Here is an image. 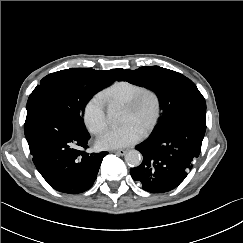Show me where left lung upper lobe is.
<instances>
[{"label":"left lung upper lobe","instance_id":"left-lung-upper-lobe-1","mask_svg":"<svg viewBox=\"0 0 243 243\" xmlns=\"http://www.w3.org/2000/svg\"><path fill=\"white\" fill-rule=\"evenodd\" d=\"M118 80L145 87L158 96L162 115L152 135L162 131L168 122L184 109L205 104L204 97L190 79L159 66L125 70Z\"/></svg>","mask_w":243,"mask_h":243}]
</instances>
